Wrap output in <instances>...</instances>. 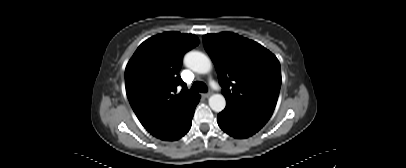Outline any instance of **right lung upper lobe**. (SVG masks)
Returning a JSON list of instances; mask_svg holds the SVG:
<instances>
[{
	"mask_svg": "<svg viewBox=\"0 0 406 168\" xmlns=\"http://www.w3.org/2000/svg\"><path fill=\"white\" fill-rule=\"evenodd\" d=\"M199 44L193 34L165 32L143 42L125 69L129 102L141 124L163 138L200 96L179 76L183 55ZM182 85L181 92L177 86Z\"/></svg>",
	"mask_w": 406,
	"mask_h": 168,
	"instance_id": "obj_1",
	"label": "right lung upper lobe"
}]
</instances>
